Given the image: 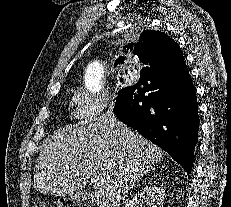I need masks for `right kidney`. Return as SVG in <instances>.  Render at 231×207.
<instances>
[{
	"label": "right kidney",
	"mask_w": 231,
	"mask_h": 207,
	"mask_svg": "<svg viewBox=\"0 0 231 207\" xmlns=\"http://www.w3.org/2000/svg\"><path fill=\"white\" fill-rule=\"evenodd\" d=\"M164 204V192L152 185H145L140 191H138L125 207H163Z\"/></svg>",
	"instance_id": "right-kidney-1"
}]
</instances>
